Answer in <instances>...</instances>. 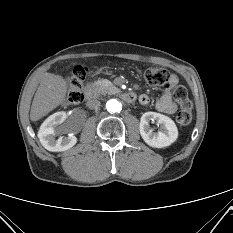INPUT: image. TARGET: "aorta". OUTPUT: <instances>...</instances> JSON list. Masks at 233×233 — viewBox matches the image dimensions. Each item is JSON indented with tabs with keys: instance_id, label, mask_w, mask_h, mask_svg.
<instances>
[{
	"instance_id": "1",
	"label": "aorta",
	"mask_w": 233,
	"mask_h": 233,
	"mask_svg": "<svg viewBox=\"0 0 233 233\" xmlns=\"http://www.w3.org/2000/svg\"><path fill=\"white\" fill-rule=\"evenodd\" d=\"M106 109L110 112V113H117L121 111V103L116 100V99H110L107 103H106Z\"/></svg>"
}]
</instances>
